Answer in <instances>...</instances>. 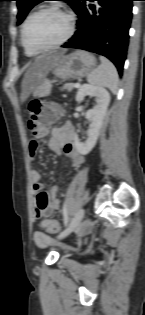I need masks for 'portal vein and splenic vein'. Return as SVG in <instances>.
Returning <instances> with one entry per match:
<instances>
[{"label": "portal vein and splenic vein", "mask_w": 145, "mask_h": 315, "mask_svg": "<svg viewBox=\"0 0 145 315\" xmlns=\"http://www.w3.org/2000/svg\"><path fill=\"white\" fill-rule=\"evenodd\" d=\"M74 87H75V88H79V87H80V84H79V83H76V84H74Z\"/></svg>", "instance_id": "1"}]
</instances>
